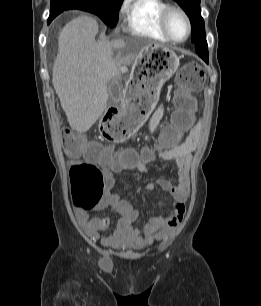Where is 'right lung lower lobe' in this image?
Masks as SVG:
<instances>
[{
	"mask_svg": "<svg viewBox=\"0 0 261 306\" xmlns=\"http://www.w3.org/2000/svg\"><path fill=\"white\" fill-rule=\"evenodd\" d=\"M54 18L49 17L48 18V24L53 20Z\"/></svg>",
	"mask_w": 261,
	"mask_h": 306,
	"instance_id": "1",
	"label": "right lung lower lobe"
}]
</instances>
